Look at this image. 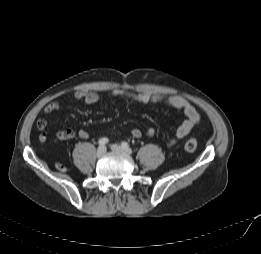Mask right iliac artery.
<instances>
[{
    "label": "right iliac artery",
    "mask_w": 261,
    "mask_h": 254,
    "mask_svg": "<svg viewBox=\"0 0 261 254\" xmlns=\"http://www.w3.org/2000/svg\"><path fill=\"white\" fill-rule=\"evenodd\" d=\"M108 138H101V139H99V141H98V143H99V145H105V144H107L108 143Z\"/></svg>",
    "instance_id": "right-iliac-artery-1"
}]
</instances>
